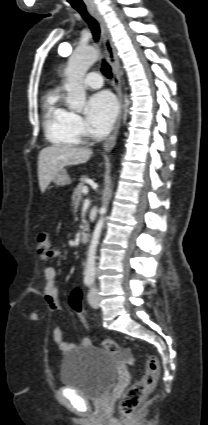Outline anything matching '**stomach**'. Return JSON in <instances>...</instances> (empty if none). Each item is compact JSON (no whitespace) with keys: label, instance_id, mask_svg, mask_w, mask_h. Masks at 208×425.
<instances>
[{"label":"stomach","instance_id":"obj_1","mask_svg":"<svg viewBox=\"0 0 208 425\" xmlns=\"http://www.w3.org/2000/svg\"><path fill=\"white\" fill-rule=\"evenodd\" d=\"M53 183L57 186L69 185L72 180L65 169L60 170L53 178Z\"/></svg>","mask_w":208,"mask_h":425}]
</instances>
